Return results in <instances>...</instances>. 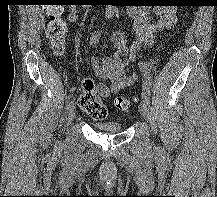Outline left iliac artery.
<instances>
[{
  "instance_id": "44dca946",
  "label": "left iliac artery",
  "mask_w": 217,
  "mask_h": 197,
  "mask_svg": "<svg viewBox=\"0 0 217 197\" xmlns=\"http://www.w3.org/2000/svg\"><path fill=\"white\" fill-rule=\"evenodd\" d=\"M139 68L143 77V86H142V98L143 101L149 105L150 104V86H151V65L147 62H139Z\"/></svg>"
}]
</instances>
